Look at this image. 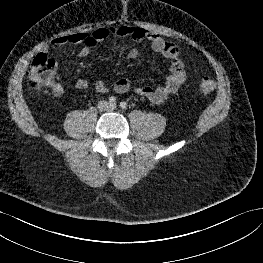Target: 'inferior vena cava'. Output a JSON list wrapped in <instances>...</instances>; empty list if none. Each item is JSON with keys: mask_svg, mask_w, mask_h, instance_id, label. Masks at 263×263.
<instances>
[{"mask_svg": "<svg viewBox=\"0 0 263 263\" xmlns=\"http://www.w3.org/2000/svg\"><path fill=\"white\" fill-rule=\"evenodd\" d=\"M98 107H99V109H103V102H102V101H100V102L98 103Z\"/></svg>", "mask_w": 263, "mask_h": 263, "instance_id": "1", "label": "inferior vena cava"}]
</instances>
